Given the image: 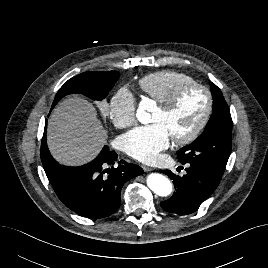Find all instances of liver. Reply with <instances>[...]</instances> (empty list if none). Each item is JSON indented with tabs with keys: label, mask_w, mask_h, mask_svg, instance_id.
<instances>
[{
	"label": "liver",
	"mask_w": 268,
	"mask_h": 268,
	"mask_svg": "<svg viewBox=\"0 0 268 268\" xmlns=\"http://www.w3.org/2000/svg\"><path fill=\"white\" fill-rule=\"evenodd\" d=\"M94 105L70 97L54 109L47 129V145L60 164L80 166L93 160L107 142V130Z\"/></svg>",
	"instance_id": "obj_1"
}]
</instances>
